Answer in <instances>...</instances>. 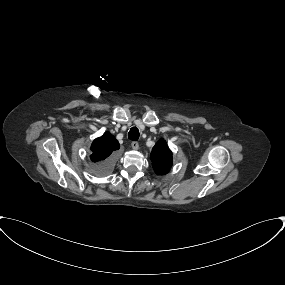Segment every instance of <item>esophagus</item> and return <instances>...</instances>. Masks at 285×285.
Instances as JSON below:
<instances>
[{
  "instance_id": "obj_1",
  "label": "esophagus",
  "mask_w": 285,
  "mask_h": 285,
  "mask_svg": "<svg viewBox=\"0 0 285 285\" xmlns=\"http://www.w3.org/2000/svg\"><path fill=\"white\" fill-rule=\"evenodd\" d=\"M131 147H132L134 150H137V149L139 148L138 142H137V141H133V142L131 143Z\"/></svg>"
}]
</instances>
